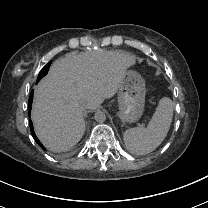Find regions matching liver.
I'll return each instance as SVG.
<instances>
[{
	"label": "liver",
	"mask_w": 208,
	"mask_h": 208,
	"mask_svg": "<svg viewBox=\"0 0 208 208\" xmlns=\"http://www.w3.org/2000/svg\"><path fill=\"white\" fill-rule=\"evenodd\" d=\"M136 56L120 51H88L56 60L35 86L32 120L36 135L53 152L67 151L85 131L81 104L96 109L117 92Z\"/></svg>",
	"instance_id": "1"
}]
</instances>
